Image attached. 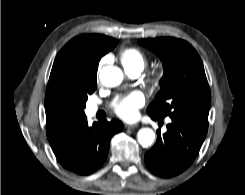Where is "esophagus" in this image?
Here are the masks:
<instances>
[{
  "instance_id": "1",
  "label": "esophagus",
  "mask_w": 245,
  "mask_h": 195,
  "mask_svg": "<svg viewBox=\"0 0 245 195\" xmlns=\"http://www.w3.org/2000/svg\"><path fill=\"white\" fill-rule=\"evenodd\" d=\"M139 125L138 124H126L125 127L128 129H134L137 128Z\"/></svg>"
}]
</instances>
